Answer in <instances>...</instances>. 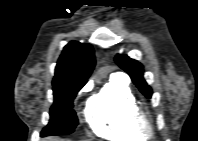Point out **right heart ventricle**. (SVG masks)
Returning a JSON list of instances; mask_svg holds the SVG:
<instances>
[{
	"instance_id": "right-heart-ventricle-1",
	"label": "right heart ventricle",
	"mask_w": 198,
	"mask_h": 141,
	"mask_svg": "<svg viewBox=\"0 0 198 141\" xmlns=\"http://www.w3.org/2000/svg\"><path fill=\"white\" fill-rule=\"evenodd\" d=\"M135 97L125 80L111 78L86 106L85 120L99 137L114 141H138L133 122Z\"/></svg>"
}]
</instances>
